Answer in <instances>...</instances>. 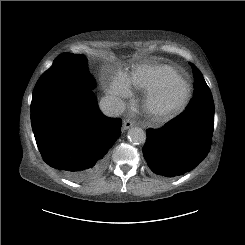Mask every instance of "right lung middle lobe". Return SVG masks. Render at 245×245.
<instances>
[{
	"instance_id": "dd1d6c3e",
	"label": "right lung middle lobe",
	"mask_w": 245,
	"mask_h": 245,
	"mask_svg": "<svg viewBox=\"0 0 245 245\" xmlns=\"http://www.w3.org/2000/svg\"><path fill=\"white\" fill-rule=\"evenodd\" d=\"M95 86L96 80L88 70L87 59L84 55L63 53L37 81L31 105H36L56 94L92 89Z\"/></svg>"
}]
</instances>
